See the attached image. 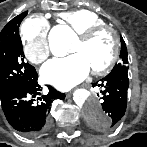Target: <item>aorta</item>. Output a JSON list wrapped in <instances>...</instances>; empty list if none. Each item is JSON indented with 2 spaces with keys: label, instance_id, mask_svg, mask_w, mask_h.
<instances>
[{
  "label": "aorta",
  "instance_id": "1",
  "mask_svg": "<svg viewBox=\"0 0 147 147\" xmlns=\"http://www.w3.org/2000/svg\"><path fill=\"white\" fill-rule=\"evenodd\" d=\"M73 36V32L68 28H64L56 34H51L49 36L51 52L56 56H64L70 49ZM74 101L81 107L89 122L107 120V114L102 110L100 101L95 95L88 93L86 90H78L74 95Z\"/></svg>",
  "mask_w": 147,
  "mask_h": 147
}]
</instances>
